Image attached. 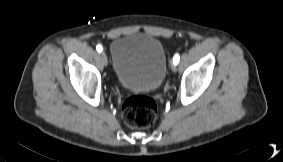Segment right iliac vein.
<instances>
[{
    "label": "right iliac vein",
    "mask_w": 283,
    "mask_h": 162,
    "mask_svg": "<svg viewBox=\"0 0 283 162\" xmlns=\"http://www.w3.org/2000/svg\"><path fill=\"white\" fill-rule=\"evenodd\" d=\"M101 57H102V62H103V64H104L105 66H107V64H108V58H107L106 53H105V52H102V53H101Z\"/></svg>",
    "instance_id": "1"
}]
</instances>
